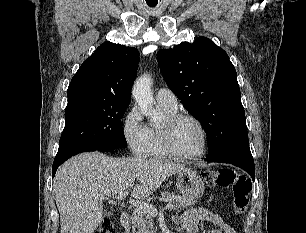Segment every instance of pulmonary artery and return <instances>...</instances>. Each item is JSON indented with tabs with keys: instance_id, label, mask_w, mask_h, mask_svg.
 <instances>
[{
	"instance_id": "pulmonary-artery-1",
	"label": "pulmonary artery",
	"mask_w": 306,
	"mask_h": 233,
	"mask_svg": "<svg viewBox=\"0 0 306 233\" xmlns=\"http://www.w3.org/2000/svg\"><path fill=\"white\" fill-rule=\"evenodd\" d=\"M156 101L159 105L169 109H177L178 102L174 93L168 88H160L156 93Z\"/></svg>"
}]
</instances>
